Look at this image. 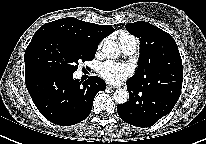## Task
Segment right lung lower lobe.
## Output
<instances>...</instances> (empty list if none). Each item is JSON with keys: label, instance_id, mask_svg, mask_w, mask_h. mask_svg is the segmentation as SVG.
I'll return each mask as SVG.
<instances>
[{"label": "right lung lower lobe", "instance_id": "obj_1", "mask_svg": "<svg viewBox=\"0 0 206 144\" xmlns=\"http://www.w3.org/2000/svg\"><path fill=\"white\" fill-rule=\"evenodd\" d=\"M27 90L39 110L49 121L60 126L77 124L88 117L98 91L106 83L97 76L87 81L73 74L38 70L25 73Z\"/></svg>", "mask_w": 206, "mask_h": 144}]
</instances>
